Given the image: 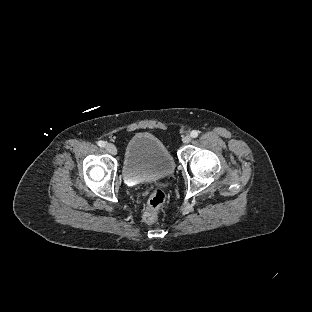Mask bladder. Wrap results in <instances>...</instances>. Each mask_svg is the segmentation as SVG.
Returning a JSON list of instances; mask_svg holds the SVG:
<instances>
[{
    "label": "bladder",
    "instance_id": "31cf9c89",
    "mask_svg": "<svg viewBox=\"0 0 312 312\" xmlns=\"http://www.w3.org/2000/svg\"><path fill=\"white\" fill-rule=\"evenodd\" d=\"M172 154L162 141L149 133L133 136L125 149L126 179H159L173 173Z\"/></svg>",
    "mask_w": 312,
    "mask_h": 312
}]
</instances>
